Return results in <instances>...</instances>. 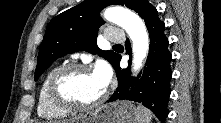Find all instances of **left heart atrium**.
<instances>
[{
	"label": "left heart atrium",
	"mask_w": 221,
	"mask_h": 123,
	"mask_svg": "<svg viewBox=\"0 0 221 123\" xmlns=\"http://www.w3.org/2000/svg\"><path fill=\"white\" fill-rule=\"evenodd\" d=\"M93 73L99 79L103 87L106 88L111 77V72L109 67L103 62H99L96 65Z\"/></svg>",
	"instance_id": "obj_1"
}]
</instances>
